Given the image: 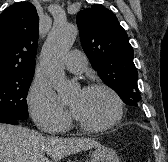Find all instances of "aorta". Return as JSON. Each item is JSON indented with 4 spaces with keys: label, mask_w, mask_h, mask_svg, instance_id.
<instances>
[{
    "label": "aorta",
    "mask_w": 168,
    "mask_h": 162,
    "mask_svg": "<svg viewBox=\"0 0 168 162\" xmlns=\"http://www.w3.org/2000/svg\"><path fill=\"white\" fill-rule=\"evenodd\" d=\"M77 34L75 25L56 22L41 50L43 68L61 99L70 98L74 92V85L65 77L62 59L73 46Z\"/></svg>",
    "instance_id": "aorta-1"
}]
</instances>
